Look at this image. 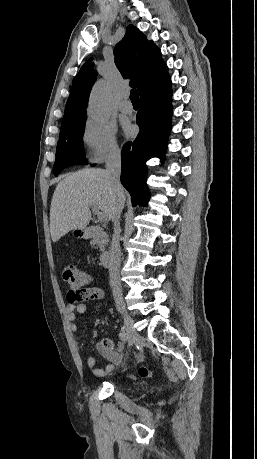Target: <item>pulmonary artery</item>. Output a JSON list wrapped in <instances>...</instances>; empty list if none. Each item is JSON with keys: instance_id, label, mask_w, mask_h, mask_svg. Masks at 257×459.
Listing matches in <instances>:
<instances>
[{"instance_id": "obj_1", "label": "pulmonary artery", "mask_w": 257, "mask_h": 459, "mask_svg": "<svg viewBox=\"0 0 257 459\" xmlns=\"http://www.w3.org/2000/svg\"><path fill=\"white\" fill-rule=\"evenodd\" d=\"M123 113H131L133 111V105L128 99V95H124V99L119 106Z\"/></svg>"}]
</instances>
